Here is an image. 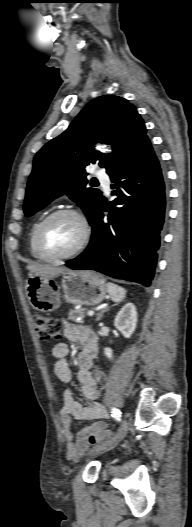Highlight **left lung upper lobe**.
<instances>
[{"label":"left lung upper lobe","mask_w":192,"mask_h":527,"mask_svg":"<svg viewBox=\"0 0 192 527\" xmlns=\"http://www.w3.org/2000/svg\"><path fill=\"white\" fill-rule=\"evenodd\" d=\"M146 132L144 121L126 99L110 95L90 101L64 133L36 154L24 202L26 216L66 193L81 206L92 225L102 194L86 187L85 167L98 164L110 176L116 174L148 140ZM97 142L112 145L113 154L95 151L93 144Z\"/></svg>","instance_id":"obj_1"}]
</instances>
